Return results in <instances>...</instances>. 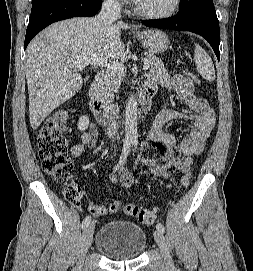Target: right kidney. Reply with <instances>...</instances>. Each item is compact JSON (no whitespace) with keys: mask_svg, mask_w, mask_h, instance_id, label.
<instances>
[{"mask_svg":"<svg viewBox=\"0 0 253 271\" xmlns=\"http://www.w3.org/2000/svg\"><path fill=\"white\" fill-rule=\"evenodd\" d=\"M89 125V118L87 116H81L78 122V129L80 131H85Z\"/></svg>","mask_w":253,"mask_h":271,"instance_id":"obj_1","label":"right kidney"}]
</instances>
